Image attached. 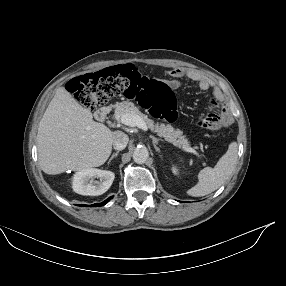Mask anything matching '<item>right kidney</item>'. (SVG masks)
<instances>
[{
	"label": "right kidney",
	"instance_id": "ca27d5eb",
	"mask_svg": "<svg viewBox=\"0 0 286 286\" xmlns=\"http://www.w3.org/2000/svg\"><path fill=\"white\" fill-rule=\"evenodd\" d=\"M95 178L99 180H94ZM111 171L96 168L83 169L73 177V190L81 195L98 196L105 193L114 181Z\"/></svg>",
	"mask_w": 286,
	"mask_h": 286
}]
</instances>
